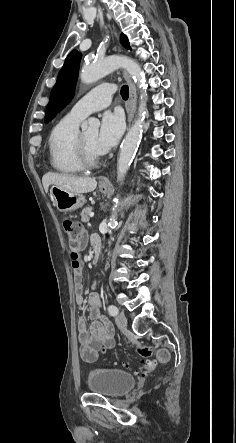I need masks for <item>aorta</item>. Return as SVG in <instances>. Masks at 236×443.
<instances>
[{
    "instance_id": "obj_1",
    "label": "aorta",
    "mask_w": 236,
    "mask_h": 443,
    "mask_svg": "<svg viewBox=\"0 0 236 443\" xmlns=\"http://www.w3.org/2000/svg\"><path fill=\"white\" fill-rule=\"evenodd\" d=\"M118 67H124L135 82L138 83L139 88L144 87L140 65L128 57L121 56H110L101 62L84 64L80 72V79L83 83L90 84L103 78ZM146 95L147 94L144 91L141 93L138 118L134 121V124L122 142L120 155L117 161V173L120 180H123L126 175L141 139L143 117L146 107ZM99 126L100 121L97 118H89L82 124V129L85 130L88 127L98 129ZM114 202L113 212L109 221L110 226H113L117 222L119 201L118 199H115Z\"/></svg>"
}]
</instances>
